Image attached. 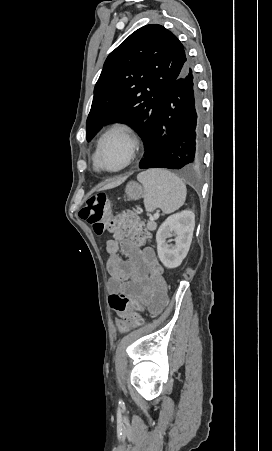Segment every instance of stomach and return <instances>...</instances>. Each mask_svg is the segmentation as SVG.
I'll use <instances>...</instances> for the list:
<instances>
[{
    "label": "stomach",
    "mask_w": 272,
    "mask_h": 451,
    "mask_svg": "<svg viewBox=\"0 0 272 451\" xmlns=\"http://www.w3.org/2000/svg\"><path fill=\"white\" fill-rule=\"evenodd\" d=\"M125 194L128 196L129 200H139L144 196V188L136 182H129L125 188Z\"/></svg>",
    "instance_id": "0dacf381"
}]
</instances>
